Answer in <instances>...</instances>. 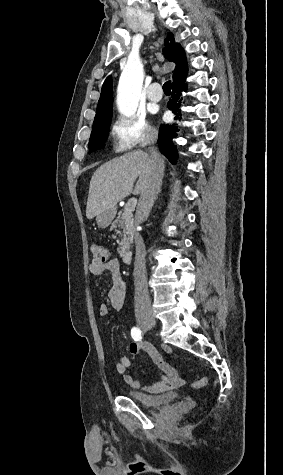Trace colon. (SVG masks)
Segmentation results:
<instances>
[{
	"mask_svg": "<svg viewBox=\"0 0 283 475\" xmlns=\"http://www.w3.org/2000/svg\"><path fill=\"white\" fill-rule=\"evenodd\" d=\"M90 253L93 259V267L96 269L110 263L113 258L112 250L99 243L92 244Z\"/></svg>",
	"mask_w": 283,
	"mask_h": 475,
	"instance_id": "colon-1",
	"label": "colon"
}]
</instances>
